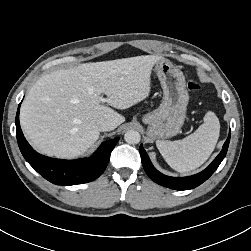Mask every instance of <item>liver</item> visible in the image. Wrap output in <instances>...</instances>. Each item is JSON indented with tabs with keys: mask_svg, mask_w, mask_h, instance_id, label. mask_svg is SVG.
Returning <instances> with one entry per match:
<instances>
[{
	"mask_svg": "<svg viewBox=\"0 0 251 251\" xmlns=\"http://www.w3.org/2000/svg\"><path fill=\"white\" fill-rule=\"evenodd\" d=\"M162 57L142 55L84 63L39 78L20 110V124L39 152L59 158L83 155L99 138L97 121L116 127L125 118L112 108L127 109L150 92L153 66ZM102 95L107 98L101 100Z\"/></svg>",
	"mask_w": 251,
	"mask_h": 251,
	"instance_id": "liver-1",
	"label": "liver"
}]
</instances>
